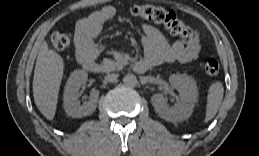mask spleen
I'll list each match as a JSON object with an SVG mask.
<instances>
[{
	"label": "spleen",
	"mask_w": 259,
	"mask_h": 156,
	"mask_svg": "<svg viewBox=\"0 0 259 156\" xmlns=\"http://www.w3.org/2000/svg\"><path fill=\"white\" fill-rule=\"evenodd\" d=\"M224 95V87L220 81L210 85L207 95L206 115L204 122L210 121L218 112Z\"/></svg>",
	"instance_id": "obj_1"
}]
</instances>
